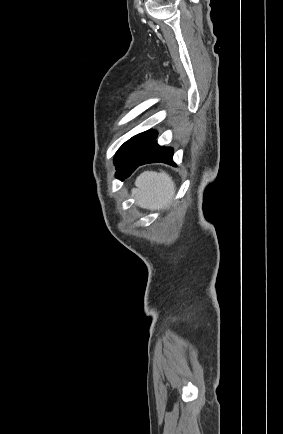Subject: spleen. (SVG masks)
Wrapping results in <instances>:
<instances>
[{"instance_id":"obj_1","label":"spleen","mask_w":283,"mask_h":434,"mask_svg":"<svg viewBox=\"0 0 283 434\" xmlns=\"http://www.w3.org/2000/svg\"><path fill=\"white\" fill-rule=\"evenodd\" d=\"M135 185L132 196L136 198L137 205L149 210L164 208L175 194L172 178L163 171H145L137 177Z\"/></svg>"}]
</instances>
